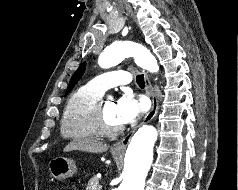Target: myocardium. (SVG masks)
I'll use <instances>...</instances> for the list:
<instances>
[{
	"label": "myocardium",
	"instance_id": "myocardium-1",
	"mask_svg": "<svg viewBox=\"0 0 238 190\" xmlns=\"http://www.w3.org/2000/svg\"><path fill=\"white\" fill-rule=\"evenodd\" d=\"M104 100H99L94 108L93 123L100 135L115 136L123 132L124 126H113L108 123L104 112Z\"/></svg>",
	"mask_w": 238,
	"mask_h": 190
}]
</instances>
